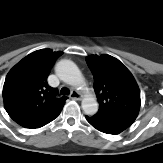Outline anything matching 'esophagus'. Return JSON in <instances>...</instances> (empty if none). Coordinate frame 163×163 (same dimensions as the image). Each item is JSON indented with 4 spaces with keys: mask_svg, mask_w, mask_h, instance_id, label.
Instances as JSON below:
<instances>
[{
    "mask_svg": "<svg viewBox=\"0 0 163 163\" xmlns=\"http://www.w3.org/2000/svg\"><path fill=\"white\" fill-rule=\"evenodd\" d=\"M70 98L73 100H81L82 99V95L80 92L73 90L70 94Z\"/></svg>",
    "mask_w": 163,
    "mask_h": 163,
    "instance_id": "34e87169",
    "label": "esophagus"
}]
</instances>
